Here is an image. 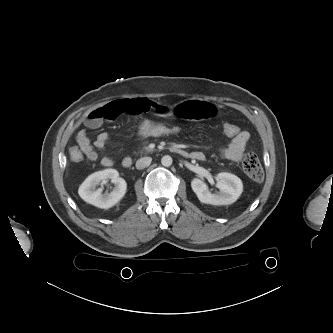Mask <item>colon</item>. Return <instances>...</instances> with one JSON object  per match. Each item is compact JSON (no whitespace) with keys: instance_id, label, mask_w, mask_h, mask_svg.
I'll return each instance as SVG.
<instances>
[{"instance_id":"obj_1","label":"colon","mask_w":333,"mask_h":333,"mask_svg":"<svg viewBox=\"0 0 333 333\" xmlns=\"http://www.w3.org/2000/svg\"><path fill=\"white\" fill-rule=\"evenodd\" d=\"M223 132L230 138L236 137L240 133V129L233 123H225ZM184 132L183 126L176 121H141L135 130V136L139 139H149L158 137L177 136ZM70 157L75 162L83 160V154L76 147L70 148ZM243 170L249 178L254 181H261L264 177V171L258 156L253 152H248L242 162Z\"/></svg>"}]
</instances>
